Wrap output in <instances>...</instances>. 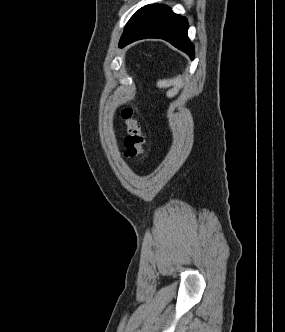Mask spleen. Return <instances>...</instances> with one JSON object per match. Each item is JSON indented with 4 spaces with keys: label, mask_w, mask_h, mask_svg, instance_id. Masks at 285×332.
Wrapping results in <instances>:
<instances>
[{
    "label": "spleen",
    "mask_w": 285,
    "mask_h": 332,
    "mask_svg": "<svg viewBox=\"0 0 285 332\" xmlns=\"http://www.w3.org/2000/svg\"><path fill=\"white\" fill-rule=\"evenodd\" d=\"M182 86H183V79L181 76H177V77H174L171 79H163V80H159L157 82V87H159V88L172 87L166 93L168 98H172V97L176 96L179 92V89Z\"/></svg>",
    "instance_id": "obj_1"
}]
</instances>
